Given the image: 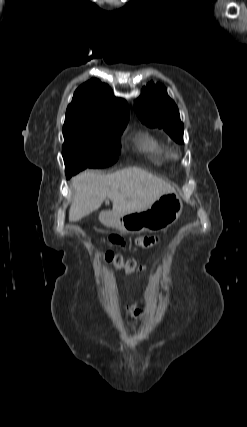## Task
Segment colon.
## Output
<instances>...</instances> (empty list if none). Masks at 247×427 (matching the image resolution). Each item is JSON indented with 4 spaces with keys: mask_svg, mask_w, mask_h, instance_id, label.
<instances>
[{
    "mask_svg": "<svg viewBox=\"0 0 247 427\" xmlns=\"http://www.w3.org/2000/svg\"><path fill=\"white\" fill-rule=\"evenodd\" d=\"M101 257L114 269L124 270L128 274H133L144 270V266L138 264L134 259H125L122 255L113 251L102 252Z\"/></svg>",
    "mask_w": 247,
    "mask_h": 427,
    "instance_id": "1",
    "label": "colon"
}]
</instances>
